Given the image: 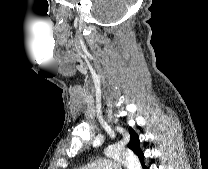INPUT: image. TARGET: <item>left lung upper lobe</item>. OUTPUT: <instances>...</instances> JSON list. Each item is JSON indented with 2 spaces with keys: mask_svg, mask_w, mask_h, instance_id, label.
<instances>
[{
  "mask_svg": "<svg viewBox=\"0 0 208 169\" xmlns=\"http://www.w3.org/2000/svg\"><path fill=\"white\" fill-rule=\"evenodd\" d=\"M129 132H130L131 138H130L128 147L137 155L139 152L142 151L140 148L139 136L131 127H129Z\"/></svg>",
  "mask_w": 208,
  "mask_h": 169,
  "instance_id": "obj_1",
  "label": "left lung upper lobe"
}]
</instances>
